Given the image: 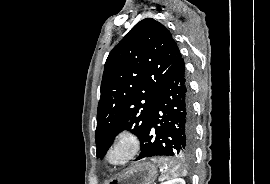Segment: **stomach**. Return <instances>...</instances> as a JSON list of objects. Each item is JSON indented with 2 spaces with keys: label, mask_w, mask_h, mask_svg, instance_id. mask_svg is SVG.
<instances>
[{
  "label": "stomach",
  "mask_w": 270,
  "mask_h": 184,
  "mask_svg": "<svg viewBox=\"0 0 270 184\" xmlns=\"http://www.w3.org/2000/svg\"><path fill=\"white\" fill-rule=\"evenodd\" d=\"M156 177L157 167L151 162L143 161L110 180L108 184H153Z\"/></svg>",
  "instance_id": "1"
}]
</instances>
